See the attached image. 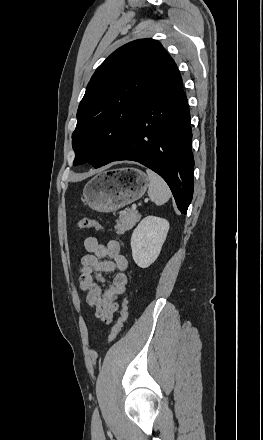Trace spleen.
Wrapping results in <instances>:
<instances>
[{
    "mask_svg": "<svg viewBox=\"0 0 263 440\" xmlns=\"http://www.w3.org/2000/svg\"><path fill=\"white\" fill-rule=\"evenodd\" d=\"M149 179L148 196L156 205H162L171 197V191L167 183L154 171L147 169Z\"/></svg>",
    "mask_w": 263,
    "mask_h": 440,
    "instance_id": "1",
    "label": "spleen"
}]
</instances>
